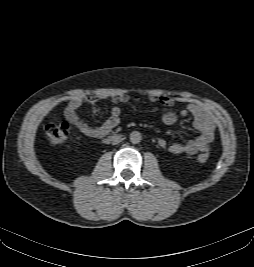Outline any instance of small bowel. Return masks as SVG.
<instances>
[{
  "mask_svg": "<svg viewBox=\"0 0 254 267\" xmlns=\"http://www.w3.org/2000/svg\"><path fill=\"white\" fill-rule=\"evenodd\" d=\"M113 103H127L129 101L139 102L138 97L128 95H114L110 97ZM151 102H158L167 108L162 116L165 124L174 123L178 117L191 116L193 125L199 134L185 143H174L169 146V151L173 154L194 155L198 152H205L209 149L214 140L215 125L212 118L198 105L189 104L178 111L173 109L174 100L168 96L151 95ZM84 104H90L93 113L99 112L98 100L95 97L76 98L71 100L64 109V116L68 122L74 125L83 135L90 138H103L108 135L121 121L122 109L118 105L112 107L110 116L100 126H93L84 121L79 115L78 110ZM161 147L166 146L164 139H159Z\"/></svg>",
  "mask_w": 254,
  "mask_h": 267,
  "instance_id": "1",
  "label": "small bowel"
}]
</instances>
